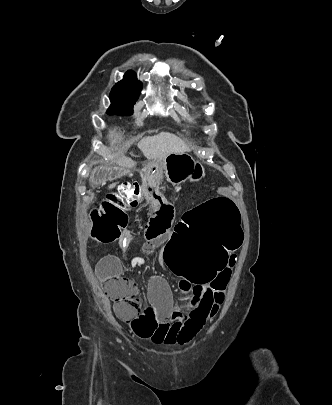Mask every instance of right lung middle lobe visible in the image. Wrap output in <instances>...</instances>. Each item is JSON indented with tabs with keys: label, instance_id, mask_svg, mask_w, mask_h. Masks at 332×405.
<instances>
[{
	"label": "right lung middle lobe",
	"instance_id": "obj_1",
	"mask_svg": "<svg viewBox=\"0 0 332 405\" xmlns=\"http://www.w3.org/2000/svg\"><path fill=\"white\" fill-rule=\"evenodd\" d=\"M139 94L140 90L130 88L118 82L111 90V106L107 110V113L109 115H131L133 113V105L138 99Z\"/></svg>",
	"mask_w": 332,
	"mask_h": 405
}]
</instances>
